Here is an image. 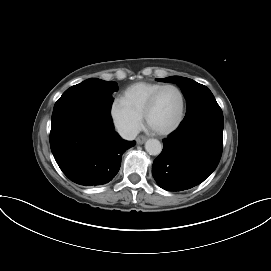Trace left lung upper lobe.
I'll list each match as a JSON object with an SVG mask.
<instances>
[{
	"mask_svg": "<svg viewBox=\"0 0 271 271\" xmlns=\"http://www.w3.org/2000/svg\"><path fill=\"white\" fill-rule=\"evenodd\" d=\"M157 80L161 82L177 83L182 88V92L187 101L186 114H189L196 108L204 105L217 104L212 92L206 86L197 83L192 79L171 76Z\"/></svg>",
	"mask_w": 271,
	"mask_h": 271,
	"instance_id": "5c2ea615",
	"label": "left lung upper lobe"
}]
</instances>
